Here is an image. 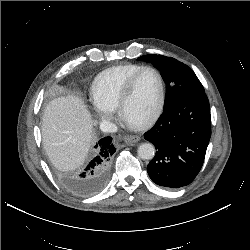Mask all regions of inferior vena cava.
I'll return each mask as SVG.
<instances>
[{"mask_svg":"<svg viewBox=\"0 0 250 250\" xmlns=\"http://www.w3.org/2000/svg\"><path fill=\"white\" fill-rule=\"evenodd\" d=\"M100 129L105 133H114L117 131V126L109 120H102L100 123Z\"/></svg>","mask_w":250,"mask_h":250,"instance_id":"obj_1","label":"inferior vena cava"}]
</instances>
